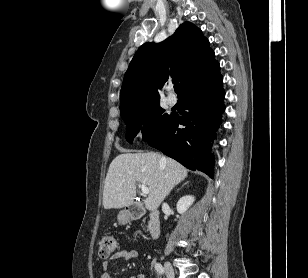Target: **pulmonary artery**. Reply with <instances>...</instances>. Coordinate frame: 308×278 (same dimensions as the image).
<instances>
[{"mask_svg": "<svg viewBox=\"0 0 308 278\" xmlns=\"http://www.w3.org/2000/svg\"><path fill=\"white\" fill-rule=\"evenodd\" d=\"M167 100H168V103L172 106L177 103V97L173 93L168 94Z\"/></svg>", "mask_w": 308, "mask_h": 278, "instance_id": "pulmonary-artery-1", "label": "pulmonary artery"}]
</instances>
